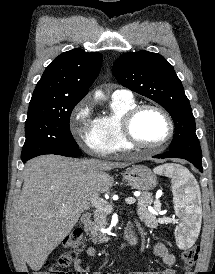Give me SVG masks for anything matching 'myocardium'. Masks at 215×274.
Here are the masks:
<instances>
[{
    "label": "myocardium",
    "instance_id": "1",
    "mask_svg": "<svg viewBox=\"0 0 215 274\" xmlns=\"http://www.w3.org/2000/svg\"><path fill=\"white\" fill-rule=\"evenodd\" d=\"M144 110H155L159 112L166 120L168 125V133L166 137L158 143L155 144H146L141 142L134 133V122L137 116ZM121 132L125 142L131 148L155 150L164 147L174 136L175 126L172 117L170 114L161 106L155 104H136L125 114L121 119Z\"/></svg>",
    "mask_w": 215,
    "mask_h": 274
}]
</instances>
